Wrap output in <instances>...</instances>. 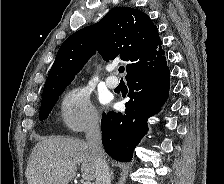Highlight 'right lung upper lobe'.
Segmentation results:
<instances>
[{
	"label": "right lung upper lobe",
	"instance_id": "obj_1",
	"mask_svg": "<svg viewBox=\"0 0 224 184\" xmlns=\"http://www.w3.org/2000/svg\"><path fill=\"white\" fill-rule=\"evenodd\" d=\"M158 29L144 12L117 7L91 26L70 35L61 45L44 85L43 96L68 85L97 50L106 61L124 60L126 79L166 61Z\"/></svg>",
	"mask_w": 224,
	"mask_h": 184
}]
</instances>
